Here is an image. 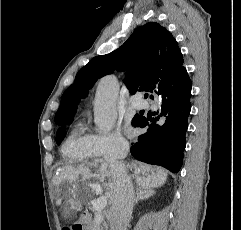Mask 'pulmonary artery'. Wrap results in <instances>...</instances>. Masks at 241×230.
<instances>
[{"instance_id":"obj_1","label":"pulmonary artery","mask_w":241,"mask_h":230,"mask_svg":"<svg viewBox=\"0 0 241 230\" xmlns=\"http://www.w3.org/2000/svg\"><path fill=\"white\" fill-rule=\"evenodd\" d=\"M132 105L136 109H141V108L147 107L148 104L144 100H138V101H134Z\"/></svg>"}]
</instances>
